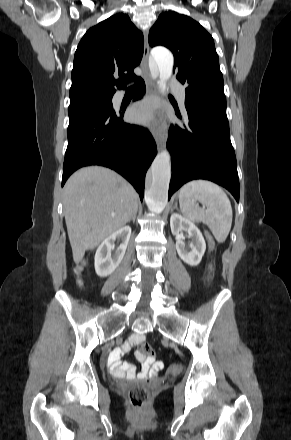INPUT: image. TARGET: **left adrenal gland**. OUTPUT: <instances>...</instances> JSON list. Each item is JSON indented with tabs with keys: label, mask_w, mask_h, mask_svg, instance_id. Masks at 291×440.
Wrapping results in <instances>:
<instances>
[{
	"label": "left adrenal gland",
	"mask_w": 291,
	"mask_h": 440,
	"mask_svg": "<svg viewBox=\"0 0 291 440\" xmlns=\"http://www.w3.org/2000/svg\"><path fill=\"white\" fill-rule=\"evenodd\" d=\"M176 209H177V203H175V206H174Z\"/></svg>",
	"instance_id": "a2214340"
}]
</instances>
